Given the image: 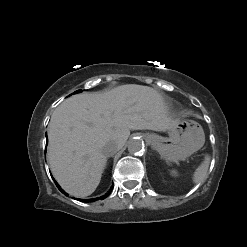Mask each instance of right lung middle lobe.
Returning a JSON list of instances; mask_svg holds the SVG:
<instances>
[{
  "label": "right lung middle lobe",
  "mask_w": 247,
  "mask_h": 247,
  "mask_svg": "<svg viewBox=\"0 0 247 247\" xmlns=\"http://www.w3.org/2000/svg\"><path fill=\"white\" fill-rule=\"evenodd\" d=\"M81 90H78V91H76L75 93H77V92H80Z\"/></svg>",
  "instance_id": "dd1d6c3e"
}]
</instances>
